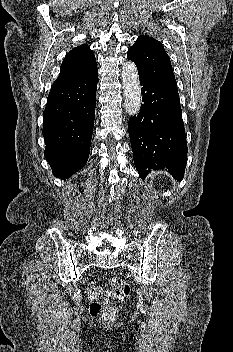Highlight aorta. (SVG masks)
Returning <instances> with one entry per match:
<instances>
[{"instance_id": "aorta-1", "label": "aorta", "mask_w": 233, "mask_h": 352, "mask_svg": "<svg viewBox=\"0 0 233 352\" xmlns=\"http://www.w3.org/2000/svg\"><path fill=\"white\" fill-rule=\"evenodd\" d=\"M138 70L133 62L122 66V82L124 90V105L129 115H136L141 107V91L139 86Z\"/></svg>"}]
</instances>
